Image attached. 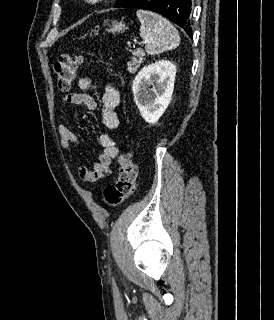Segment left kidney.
<instances>
[{
    "mask_svg": "<svg viewBox=\"0 0 274 320\" xmlns=\"http://www.w3.org/2000/svg\"><path fill=\"white\" fill-rule=\"evenodd\" d=\"M175 76L176 66L167 60L144 66L138 72L132 92L134 102L148 124H156L168 108L174 90Z\"/></svg>",
    "mask_w": 274,
    "mask_h": 320,
    "instance_id": "left-kidney-1",
    "label": "left kidney"
}]
</instances>
